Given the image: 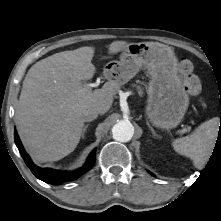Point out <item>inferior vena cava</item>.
Returning <instances> with one entry per match:
<instances>
[{
	"instance_id": "inferior-vena-cava-1",
	"label": "inferior vena cava",
	"mask_w": 221,
	"mask_h": 221,
	"mask_svg": "<svg viewBox=\"0 0 221 221\" xmlns=\"http://www.w3.org/2000/svg\"><path fill=\"white\" fill-rule=\"evenodd\" d=\"M100 110L98 107H89L82 111L81 118L84 122H90L98 117Z\"/></svg>"
}]
</instances>
